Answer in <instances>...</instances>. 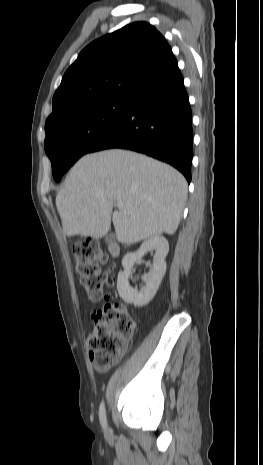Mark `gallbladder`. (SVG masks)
Wrapping results in <instances>:
<instances>
[{
  "mask_svg": "<svg viewBox=\"0 0 263 465\" xmlns=\"http://www.w3.org/2000/svg\"><path fill=\"white\" fill-rule=\"evenodd\" d=\"M114 239H115V235L112 234V233H110V234H108V235L106 236V242H108V243L113 242Z\"/></svg>",
  "mask_w": 263,
  "mask_h": 465,
  "instance_id": "1",
  "label": "gallbladder"
}]
</instances>
